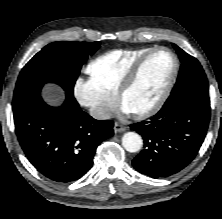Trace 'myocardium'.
Returning <instances> with one entry per match:
<instances>
[{
	"label": "myocardium",
	"mask_w": 222,
	"mask_h": 219,
	"mask_svg": "<svg viewBox=\"0 0 222 219\" xmlns=\"http://www.w3.org/2000/svg\"><path fill=\"white\" fill-rule=\"evenodd\" d=\"M161 51H165L168 52L172 58H173V68L171 71V74L169 76V79L161 93V95L159 96V98L156 100V102L151 105L150 107L139 111V112H134L132 113L133 116L136 119H145L148 118L150 116H153L154 114H156L165 104L166 100L168 99L174 84L176 82L177 76H178V72H179V68H180V63H179V59L176 55V53L168 48V47H164V46H159V47H154L151 48L150 50H148L147 52H145L144 54H142L130 67V69L126 72V74L123 76V78L121 79L118 89L116 91L115 97L117 99V101L121 104H123V99L124 96L128 93V91L133 87V85L135 84L138 75L141 71L142 66L144 65V63L146 62V60L153 54L157 53V52H161Z\"/></svg>",
	"instance_id": "1"
}]
</instances>
